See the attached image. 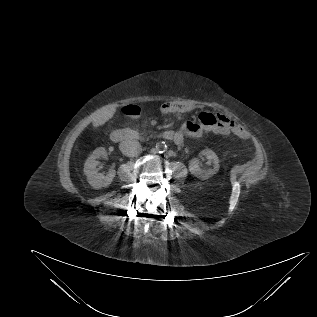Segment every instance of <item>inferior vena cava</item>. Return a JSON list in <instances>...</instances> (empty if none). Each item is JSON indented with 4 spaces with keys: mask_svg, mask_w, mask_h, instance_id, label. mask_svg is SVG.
Returning a JSON list of instances; mask_svg holds the SVG:
<instances>
[{
    "mask_svg": "<svg viewBox=\"0 0 317 317\" xmlns=\"http://www.w3.org/2000/svg\"><path fill=\"white\" fill-rule=\"evenodd\" d=\"M119 148L121 152L128 157L137 156L142 148L141 144L137 140L127 139L120 143Z\"/></svg>",
    "mask_w": 317,
    "mask_h": 317,
    "instance_id": "1",
    "label": "inferior vena cava"
}]
</instances>
